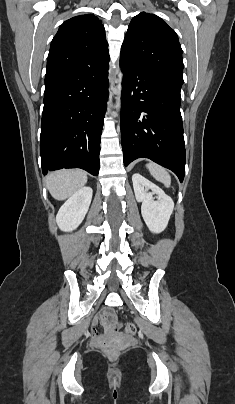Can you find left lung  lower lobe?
<instances>
[{"label":"left lung lower lobe","instance_id":"left-lung-lower-lobe-1","mask_svg":"<svg viewBox=\"0 0 235 404\" xmlns=\"http://www.w3.org/2000/svg\"><path fill=\"white\" fill-rule=\"evenodd\" d=\"M124 72L121 140L124 165L145 157L185 174V146L180 113L182 84L131 63L120 56Z\"/></svg>","mask_w":235,"mask_h":404}]
</instances>
